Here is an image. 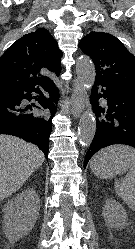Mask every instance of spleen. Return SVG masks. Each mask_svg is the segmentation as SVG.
<instances>
[{
	"instance_id": "obj_1",
	"label": "spleen",
	"mask_w": 135,
	"mask_h": 249,
	"mask_svg": "<svg viewBox=\"0 0 135 249\" xmlns=\"http://www.w3.org/2000/svg\"><path fill=\"white\" fill-rule=\"evenodd\" d=\"M103 158H114L127 162L128 173L122 183H115V190L129 208L135 210V149L124 145L110 146L96 154L91 163Z\"/></svg>"
}]
</instances>
